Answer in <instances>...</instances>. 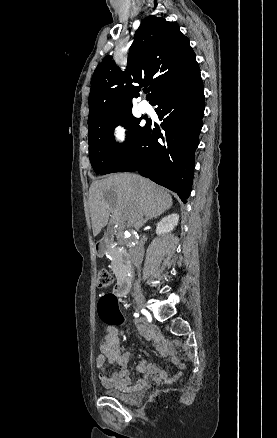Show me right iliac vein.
<instances>
[{
  "label": "right iliac vein",
  "mask_w": 277,
  "mask_h": 438,
  "mask_svg": "<svg viewBox=\"0 0 277 438\" xmlns=\"http://www.w3.org/2000/svg\"><path fill=\"white\" fill-rule=\"evenodd\" d=\"M135 301H136V304L138 306V309L145 310L146 304H145L144 297L142 295L136 296Z\"/></svg>",
  "instance_id": "right-iliac-vein-1"
}]
</instances>
